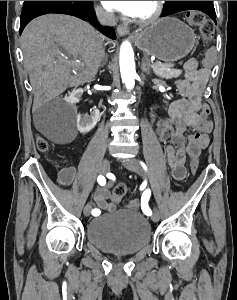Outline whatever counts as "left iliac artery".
<instances>
[{
  "label": "left iliac artery",
  "instance_id": "1",
  "mask_svg": "<svg viewBox=\"0 0 237 300\" xmlns=\"http://www.w3.org/2000/svg\"><path fill=\"white\" fill-rule=\"evenodd\" d=\"M140 163H141L142 167H143L145 170H147L146 165H145L143 162H140ZM150 195H151V192H150V190L148 189V190H146V191L142 194V197H141V208H142V211H143L146 215H148V216H150V215L152 214V211H151V209H150L149 206H148V200H149V198H150Z\"/></svg>",
  "mask_w": 237,
  "mask_h": 300
}]
</instances>
